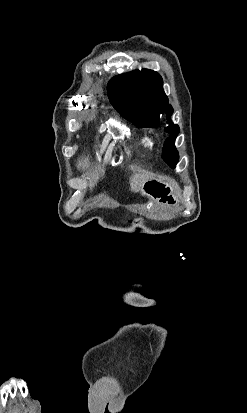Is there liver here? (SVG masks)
I'll list each match as a JSON object with an SVG mask.
<instances>
[{"label": "liver", "mask_w": 247, "mask_h": 413, "mask_svg": "<svg viewBox=\"0 0 247 413\" xmlns=\"http://www.w3.org/2000/svg\"><path fill=\"white\" fill-rule=\"evenodd\" d=\"M77 166L78 168H81V166L82 168H88L89 158H80V160H78ZM98 178H100L99 172H97V170H94L89 180L90 188H92V186L96 184ZM149 178H156V174H154V172H149V170H144V168H142V170H139V172H134V174L130 176L129 180L130 190H133V192H138V190H141L144 182H146V180H149Z\"/></svg>", "instance_id": "1"}]
</instances>
